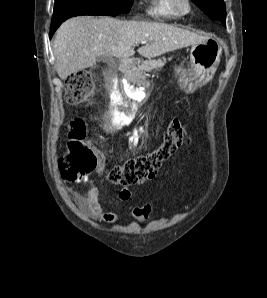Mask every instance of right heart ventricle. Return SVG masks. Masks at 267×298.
I'll return each instance as SVG.
<instances>
[{"label":"right heart ventricle","instance_id":"right-heart-ventricle-1","mask_svg":"<svg viewBox=\"0 0 267 298\" xmlns=\"http://www.w3.org/2000/svg\"><path fill=\"white\" fill-rule=\"evenodd\" d=\"M145 12L157 19L177 18L180 14L172 7L171 0H145Z\"/></svg>","mask_w":267,"mask_h":298}]
</instances>
